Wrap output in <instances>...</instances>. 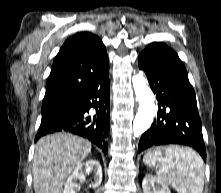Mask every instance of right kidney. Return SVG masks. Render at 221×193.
<instances>
[{"label":"right kidney","instance_id":"right-kidney-1","mask_svg":"<svg viewBox=\"0 0 221 193\" xmlns=\"http://www.w3.org/2000/svg\"><path fill=\"white\" fill-rule=\"evenodd\" d=\"M94 172V180L92 185L98 187L102 181V168L98 161L88 160L85 163L79 164L68 177L63 193H77L80 190L78 182L85 181V174Z\"/></svg>","mask_w":221,"mask_h":193}]
</instances>
